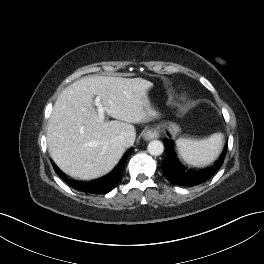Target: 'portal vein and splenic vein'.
Wrapping results in <instances>:
<instances>
[{
	"instance_id": "obj_1",
	"label": "portal vein and splenic vein",
	"mask_w": 264,
	"mask_h": 264,
	"mask_svg": "<svg viewBox=\"0 0 264 264\" xmlns=\"http://www.w3.org/2000/svg\"><path fill=\"white\" fill-rule=\"evenodd\" d=\"M95 106L97 107V111H98V116L100 120H104V113H105V108L104 106L101 104V98L99 96H97L95 98L94 101Z\"/></svg>"
}]
</instances>
